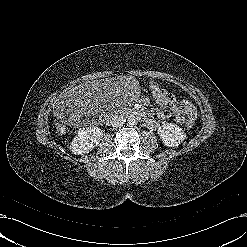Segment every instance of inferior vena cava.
<instances>
[{
  "instance_id": "obj_1",
  "label": "inferior vena cava",
  "mask_w": 247,
  "mask_h": 247,
  "mask_svg": "<svg viewBox=\"0 0 247 247\" xmlns=\"http://www.w3.org/2000/svg\"><path fill=\"white\" fill-rule=\"evenodd\" d=\"M126 122V119L123 117V116H113L111 121H110V124L113 126V127H120L122 126L123 124H125Z\"/></svg>"
}]
</instances>
